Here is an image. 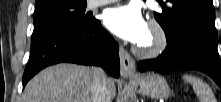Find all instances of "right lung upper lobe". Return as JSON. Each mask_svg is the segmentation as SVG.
<instances>
[{"label":"right lung upper lobe","mask_w":221,"mask_h":102,"mask_svg":"<svg viewBox=\"0 0 221 102\" xmlns=\"http://www.w3.org/2000/svg\"><path fill=\"white\" fill-rule=\"evenodd\" d=\"M47 0H36V7L40 6L42 3L46 2Z\"/></svg>","instance_id":"obj_1"}]
</instances>
